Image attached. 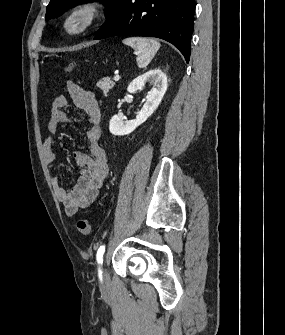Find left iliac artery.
Returning <instances> with one entry per match:
<instances>
[{
	"instance_id": "obj_1",
	"label": "left iliac artery",
	"mask_w": 285,
	"mask_h": 335,
	"mask_svg": "<svg viewBox=\"0 0 285 335\" xmlns=\"http://www.w3.org/2000/svg\"><path fill=\"white\" fill-rule=\"evenodd\" d=\"M105 252V246H100V248L97 251V262L98 264H102L103 263V254ZM102 272L101 270H99V276H101Z\"/></svg>"
}]
</instances>
